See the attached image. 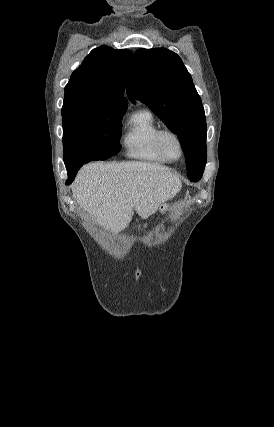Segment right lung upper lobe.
I'll return each instance as SVG.
<instances>
[{
  "label": "right lung upper lobe",
  "mask_w": 274,
  "mask_h": 427,
  "mask_svg": "<svg viewBox=\"0 0 274 427\" xmlns=\"http://www.w3.org/2000/svg\"><path fill=\"white\" fill-rule=\"evenodd\" d=\"M133 53L100 46L91 51L73 72L65 87L62 109L81 104L126 105L124 85Z\"/></svg>",
  "instance_id": "obj_1"
}]
</instances>
